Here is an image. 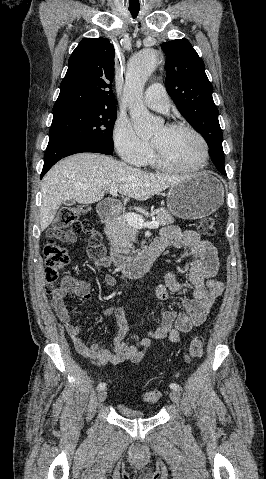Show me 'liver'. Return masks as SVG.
<instances>
[{"label":"liver","instance_id":"liver-1","mask_svg":"<svg viewBox=\"0 0 266 479\" xmlns=\"http://www.w3.org/2000/svg\"><path fill=\"white\" fill-rule=\"evenodd\" d=\"M187 177L152 174L96 153H80L59 161L42 180L40 226L44 231L66 200L91 204L111 187L120 194L145 201Z\"/></svg>","mask_w":266,"mask_h":479}]
</instances>
